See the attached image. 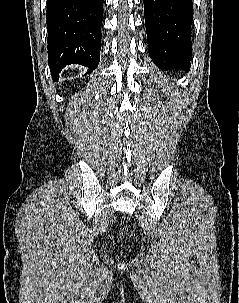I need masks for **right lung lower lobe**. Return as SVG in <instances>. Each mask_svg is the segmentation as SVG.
Instances as JSON below:
<instances>
[{
    "label": "right lung lower lobe",
    "mask_w": 239,
    "mask_h": 303,
    "mask_svg": "<svg viewBox=\"0 0 239 303\" xmlns=\"http://www.w3.org/2000/svg\"><path fill=\"white\" fill-rule=\"evenodd\" d=\"M46 18L53 79L69 64L94 70L100 60L103 0H47Z\"/></svg>",
    "instance_id": "1"
}]
</instances>
